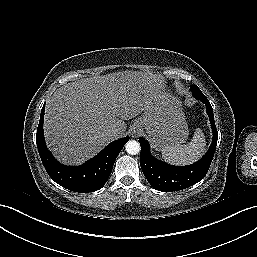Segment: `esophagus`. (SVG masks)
I'll use <instances>...</instances> for the list:
<instances>
[{
    "mask_svg": "<svg viewBox=\"0 0 257 257\" xmlns=\"http://www.w3.org/2000/svg\"><path fill=\"white\" fill-rule=\"evenodd\" d=\"M139 134V130L134 129V131L132 132V136L136 137Z\"/></svg>",
    "mask_w": 257,
    "mask_h": 257,
    "instance_id": "34e87169",
    "label": "esophagus"
}]
</instances>
